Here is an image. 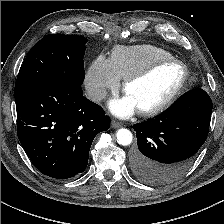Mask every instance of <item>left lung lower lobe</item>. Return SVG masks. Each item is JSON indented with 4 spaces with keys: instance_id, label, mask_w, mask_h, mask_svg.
I'll use <instances>...</instances> for the list:
<instances>
[{
    "instance_id": "1",
    "label": "left lung lower lobe",
    "mask_w": 224,
    "mask_h": 224,
    "mask_svg": "<svg viewBox=\"0 0 224 224\" xmlns=\"http://www.w3.org/2000/svg\"><path fill=\"white\" fill-rule=\"evenodd\" d=\"M211 113V98L198 88L153 119L134 124L139 149L133 156L135 176L149 184L180 178L208 136Z\"/></svg>"
}]
</instances>
